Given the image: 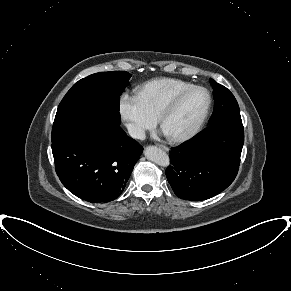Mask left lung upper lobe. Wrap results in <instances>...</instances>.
<instances>
[{"label":"left lung upper lobe","mask_w":291,"mask_h":291,"mask_svg":"<svg viewBox=\"0 0 291 291\" xmlns=\"http://www.w3.org/2000/svg\"><path fill=\"white\" fill-rule=\"evenodd\" d=\"M214 94V112L209 125L221 120L242 121L238 103L233 94L223 85L213 79H209Z\"/></svg>","instance_id":"5c2ea615"}]
</instances>
